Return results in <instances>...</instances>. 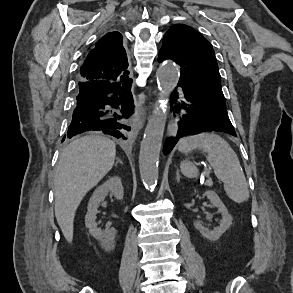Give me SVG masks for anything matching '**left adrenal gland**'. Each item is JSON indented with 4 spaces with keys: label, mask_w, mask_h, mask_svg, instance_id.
<instances>
[{
    "label": "left adrenal gland",
    "mask_w": 293,
    "mask_h": 293,
    "mask_svg": "<svg viewBox=\"0 0 293 293\" xmlns=\"http://www.w3.org/2000/svg\"><path fill=\"white\" fill-rule=\"evenodd\" d=\"M180 174H179V170L176 171V181L179 183L180 182Z\"/></svg>",
    "instance_id": "a2214340"
}]
</instances>
